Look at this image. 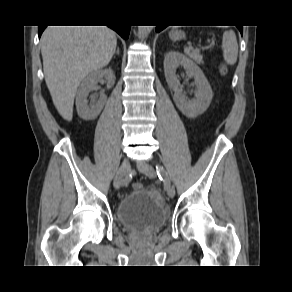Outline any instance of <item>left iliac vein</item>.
<instances>
[{
  "instance_id": "1",
  "label": "left iliac vein",
  "mask_w": 292,
  "mask_h": 292,
  "mask_svg": "<svg viewBox=\"0 0 292 292\" xmlns=\"http://www.w3.org/2000/svg\"><path fill=\"white\" fill-rule=\"evenodd\" d=\"M138 169L149 178H154L156 176V171L154 168L145 162L139 163ZM166 192L169 198H173L175 196V188L172 185L166 189Z\"/></svg>"
}]
</instances>
